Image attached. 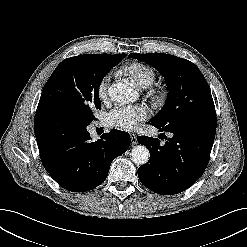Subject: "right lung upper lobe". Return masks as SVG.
<instances>
[{"label":"right lung upper lobe","mask_w":247,"mask_h":247,"mask_svg":"<svg viewBox=\"0 0 247 247\" xmlns=\"http://www.w3.org/2000/svg\"><path fill=\"white\" fill-rule=\"evenodd\" d=\"M86 55L91 57V58L101 59L105 63L113 64V65L120 62L126 56V54H114V55H110V54H86Z\"/></svg>","instance_id":"1"}]
</instances>
